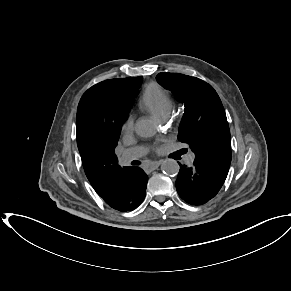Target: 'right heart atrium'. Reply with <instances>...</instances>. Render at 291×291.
I'll use <instances>...</instances> for the list:
<instances>
[{
  "instance_id": "d8ad5b80",
  "label": "right heart atrium",
  "mask_w": 291,
  "mask_h": 291,
  "mask_svg": "<svg viewBox=\"0 0 291 291\" xmlns=\"http://www.w3.org/2000/svg\"><path fill=\"white\" fill-rule=\"evenodd\" d=\"M134 127V119L131 115L127 116L122 124V133L124 135L130 134Z\"/></svg>"
}]
</instances>
